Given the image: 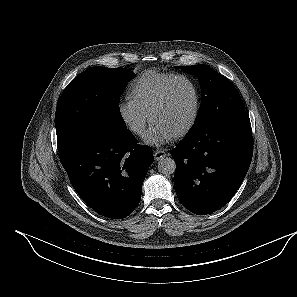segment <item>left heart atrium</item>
Masks as SVG:
<instances>
[{"label": "left heart atrium", "mask_w": 297, "mask_h": 297, "mask_svg": "<svg viewBox=\"0 0 297 297\" xmlns=\"http://www.w3.org/2000/svg\"><path fill=\"white\" fill-rule=\"evenodd\" d=\"M174 135L165 127L158 123L152 122L150 128L145 134L144 140L151 145H163L170 142Z\"/></svg>", "instance_id": "39dd6f15"}]
</instances>
